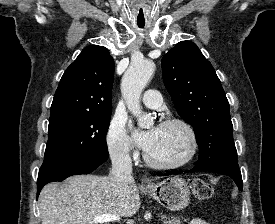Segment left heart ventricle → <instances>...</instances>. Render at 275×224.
I'll list each match as a JSON object with an SVG mask.
<instances>
[{"label":"left heart ventricle","instance_id":"left-heart-ventricle-1","mask_svg":"<svg viewBox=\"0 0 275 224\" xmlns=\"http://www.w3.org/2000/svg\"><path fill=\"white\" fill-rule=\"evenodd\" d=\"M189 146L188 135L181 126H159L155 140L147 152L156 161L172 163L184 158Z\"/></svg>","mask_w":275,"mask_h":224}]
</instances>
